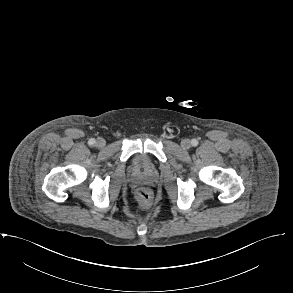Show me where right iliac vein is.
Returning <instances> with one entry per match:
<instances>
[{"label":"right iliac vein","instance_id":"1","mask_svg":"<svg viewBox=\"0 0 293 293\" xmlns=\"http://www.w3.org/2000/svg\"><path fill=\"white\" fill-rule=\"evenodd\" d=\"M106 145V141L103 138H98L96 141V146L98 148H103Z\"/></svg>","mask_w":293,"mask_h":293}]
</instances>
